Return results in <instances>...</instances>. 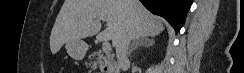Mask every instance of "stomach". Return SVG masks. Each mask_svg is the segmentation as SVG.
<instances>
[{
	"label": "stomach",
	"instance_id": "0dacf381",
	"mask_svg": "<svg viewBox=\"0 0 244 73\" xmlns=\"http://www.w3.org/2000/svg\"><path fill=\"white\" fill-rule=\"evenodd\" d=\"M67 53L75 60H82L88 50V45L82 40H71L66 42Z\"/></svg>",
	"mask_w": 244,
	"mask_h": 73
}]
</instances>
